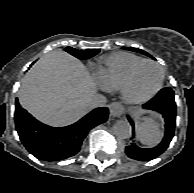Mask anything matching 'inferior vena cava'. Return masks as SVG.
<instances>
[{"mask_svg":"<svg viewBox=\"0 0 194 193\" xmlns=\"http://www.w3.org/2000/svg\"><path fill=\"white\" fill-rule=\"evenodd\" d=\"M106 101L105 96L102 94H95L87 101V106L89 109L103 107Z\"/></svg>","mask_w":194,"mask_h":193,"instance_id":"1","label":"inferior vena cava"}]
</instances>
